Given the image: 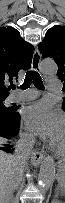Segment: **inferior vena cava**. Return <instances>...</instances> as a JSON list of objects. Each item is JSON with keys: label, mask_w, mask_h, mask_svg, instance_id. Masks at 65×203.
<instances>
[{"label": "inferior vena cava", "mask_w": 65, "mask_h": 203, "mask_svg": "<svg viewBox=\"0 0 65 203\" xmlns=\"http://www.w3.org/2000/svg\"><path fill=\"white\" fill-rule=\"evenodd\" d=\"M34 142H35V139L31 136L21 137L18 140L16 144V149H15V158L17 160L16 175H15L14 181L12 182L10 196L5 199L2 198L0 200V203H12L11 194L18 185V182H19L18 177L22 176L23 174L26 161L30 157Z\"/></svg>", "instance_id": "602c4592"}]
</instances>
